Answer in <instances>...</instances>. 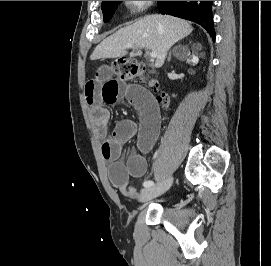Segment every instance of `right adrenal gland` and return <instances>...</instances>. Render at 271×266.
I'll return each mask as SVG.
<instances>
[{
	"instance_id": "2a0ac1e0",
	"label": "right adrenal gland",
	"mask_w": 271,
	"mask_h": 266,
	"mask_svg": "<svg viewBox=\"0 0 271 266\" xmlns=\"http://www.w3.org/2000/svg\"><path fill=\"white\" fill-rule=\"evenodd\" d=\"M170 58H171V52L169 53L168 61H170Z\"/></svg>"
}]
</instances>
